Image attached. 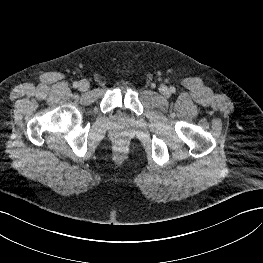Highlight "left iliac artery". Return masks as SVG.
Returning a JSON list of instances; mask_svg holds the SVG:
<instances>
[{
	"instance_id": "obj_1",
	"label": "left iliac artery",
	"mask_w": 263,
	"mask_h": 263,
	"mask_svg": "<svg viewBox=\"0 0 263 263\" xmlns=\"http://www.w3.org/2000/svg\"><path fill=\"white\" fill-rule=\"evenodd\" d=\"M170 92L174 93V92H175V88H174V87H171V88H170Z\"/></svg>"
}]
</instances>
